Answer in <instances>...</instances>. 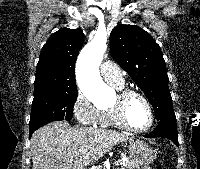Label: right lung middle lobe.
Returning <instances> with one entry per match:
<instances>
[{
    "label": "right lung middle lobe",
    "instance_id": "dd1d6c3e",
    "mask_svg": "<svg viewBox=\"0 0 200 169\" xmlns=\"http://www.w3.org/2000/svg\"><path fill=\"white\" fill-rule=\"evenodd\" d=\"M77 94V86L35 91L29 125L71 120Z\"/></svg>",
    "mask_w": 200,
    "mask_h": 169
}]
</instances>
